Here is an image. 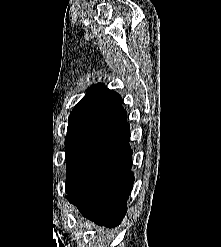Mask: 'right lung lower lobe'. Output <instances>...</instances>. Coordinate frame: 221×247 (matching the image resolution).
I'll list each match as a JSON object with an SVG mask.
<instances>
[{
    "instance_id": "obj_1",
    "label": "right lung lower lobe",
    "mask_w": 221,
    "mask_h": 247,
    "mask_svg": "<svg viewBox=\"0 0 221 247\" xmlns=\"http://www.w3.org/2000/svg\"><path fill=\"white\" fill-rule=\"evenodd\" d=\"M127 116L82 130L67 146V200L95 223L114 228L126 213L134 176Z\"/></svg>"
}]
</instances>
